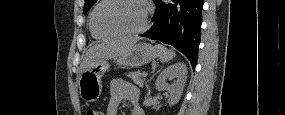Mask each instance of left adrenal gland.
I'll list each match as a JSON object with an SVG mask.
<instances>
[{
  "label": "left adrenal gland",
  "instance_id": "left-adrenal-gland-1",
  "mask_svg": "<svg viewBox=\"0 0 285 115\" xmlns=\"http://www.w3.org/2000/svg\"><path fill=\"white\" fill-rule=\"evenodd\" d=\"M146 88L148 89L147 82H146Z\"/></svg>",
  "mask_w": 285,
  "mask_h": 115
}]
</instances>
